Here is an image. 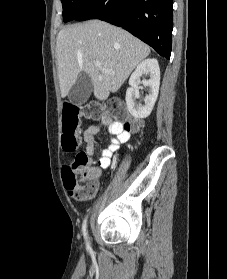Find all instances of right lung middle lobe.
<instances>
[{"label":"right lung middle lobe","mask_w":227,"mask_h":279,"mask_svg":"<svg viewBox=\"0 0 227 279\" xmlns=\"http://www.w3.org/2000/svg\"><path fill=\"white\" fill-rule=\"evenodd\" d=\"M92 0H61L64 22L74 20Z\"/></svg>","instance_id":"right-lung-middle-lobe-1"}]
</instances>
